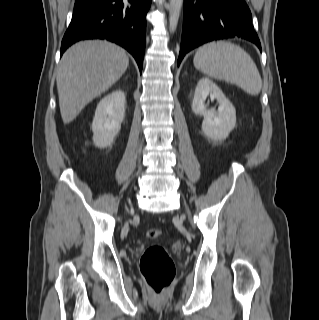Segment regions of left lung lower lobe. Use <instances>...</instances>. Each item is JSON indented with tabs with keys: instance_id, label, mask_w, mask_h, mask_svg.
I'll return each mask as SVG.
<instances>
[{
	"instance_id": "1",
	"label": "left lung lower lobe",
	"mask_w": 319,
	"mask_h": 320,
	"mask_svg": "<svg viewBox=\"0 0 319 320\" xmlns=\"http://www.w3.org/2000/svg\"><path fill=\"white\" fill-rule=\"evenodd\" d=\"M240 37L255 43L251 12L244 0H184L180 64L190 50L216 39Z\"/></svg>"
}]
</instances>
